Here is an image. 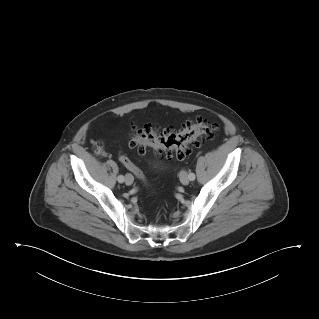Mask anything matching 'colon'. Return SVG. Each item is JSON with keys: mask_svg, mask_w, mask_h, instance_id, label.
Here are the masks:
<instances>
[{"mask_svg": "<svg viewBox=\"0 0 319 319\" xmlns=\"http://www.w3.org/2000/svg\"><path fill=\"white\" fill-rule=\"evenodd\" d=\"M216 126L202 118L185 122L179 129H159L151 125L137 126L132 130L131 146L143 153L146 148H152L156 157L160 159H184L191 147H198L205 141L214 138ZM120 162L130 170L140 181L144 182L143 172L121 155Z\"/></svg>", "mask_w": 319, "mask_h": 319, "instance_id": "1", "label": "colon"}]
</instances>
